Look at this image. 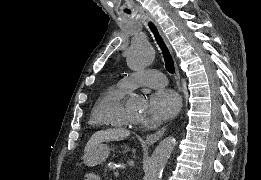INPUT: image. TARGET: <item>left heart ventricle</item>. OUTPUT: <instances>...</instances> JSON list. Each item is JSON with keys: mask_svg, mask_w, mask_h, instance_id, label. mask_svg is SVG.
Masks as SVG:
<instances>
[{"mask_svg": "<svg viewBox=\"0 0 261 180\" xmlns=\"http://www.w3.org/2000/svg\"><path fill=\"white\" fill-rule=\"evenodd\" d=\"M144 108H145V103L139 109H130V108L123 107L125 120L134 123L142 122V111L144 110Z\"/></svg>", "mask_w": 261, "mask_h": 180, "instance_id": "1", "label": "left heart ventricle"}]
</instances>
